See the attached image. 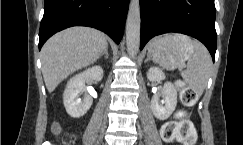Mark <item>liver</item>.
<instances>
[{
  "instance_id": "1",
  "label": "liver",
  "mask_w": 243,
  "mask_h": 145,
  "mask_svg": "<svg viewBox=\"0 0 243 145\" xmlns=\"http://www.w3.org/2000/svg\"><path fill=\"white\" fill-rule=\"evenodd\" d=\"M106 36L88 27H72L52 36L42 47V74L48 92L73 72L93 64L104 52Z\"/></svg>"
}]
</instances>
